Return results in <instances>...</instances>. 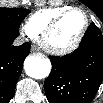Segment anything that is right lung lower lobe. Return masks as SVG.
Segmentation results:
<instances>
[{
  "instance_id": "obj_1",
  "label": "right lung lower lobe",
  "mask_w": 103,
  "mask_h": 103,
  "mask_svg": "<svg viewBox=\"0 0 103 103\" xmlns=\"http://www.w3.org/2000/svg\"><path fill=\"white\" fill-rule=\"evenodd\" d=\"M18 35L0 30V102L13 97L17 80L22 72L23 61L30 50V43L13 44Z\"/></svg>"
}]
</instances>
